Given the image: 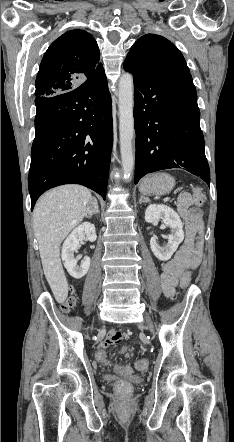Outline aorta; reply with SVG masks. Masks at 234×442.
Segmentation results:
<instances>
[{"label":"aorta","mask_w":234,"mask_h":442,"mask_svg":"<svg viewBox=\"0 0 234 442\" xmlns=\"http://www.w3.org/2000/svg\"><path fill=\"white\" fill-rule=\"evenodd\" d=\"M134 82L130 73H123L118 84L119 134L122 170L129 176L135 164L134 137Z\"/></svg>","instance_id":"aorta-1"}]
</instances>
